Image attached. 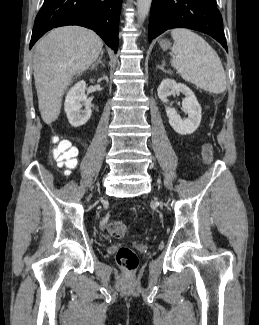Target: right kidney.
I'll return each instance as SVG.
<instances>
[{
  "label": "right kidney",
  "instance_id": "1",
  "mask_svg": "<svg viewBox=\"0 0 259 325\" xmlns=\"http://www.w3.org/2000/svg\"><path fill=\"white\" fill-rule=\"evenodd\" d=\"M86 83L79 81L67 93L64 110L69 123L73 127L84 125L91 117V101L87 99L85 94ZM85 106L84 110L82 107Z\"/></svg>",
  "mask_w": 259,
  "mask_h": 325
}]
</instances>
